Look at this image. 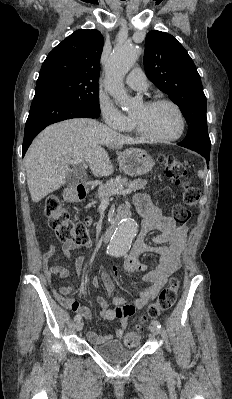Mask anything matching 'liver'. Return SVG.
<instances>
[{
	"instance_id": "1",
	"label": "liver",
	"mask_w": 232,
	"mask_h": 399,
	"mask_svg": "<svg viewBox=\"0 0 232 399\" xmlns=\"http://www.w3.org/2000/svg\"><path fill=\"white\" fill-rule=\"evenodd\" d=\"M137 140L122 136L97 120L79 118L52 124L33 140L24 160L32 201H40L65 184L68 160L87 162L92 174L111 176L114 166L102 146L121 150Z\"/></svg>"
}]
</instances>
